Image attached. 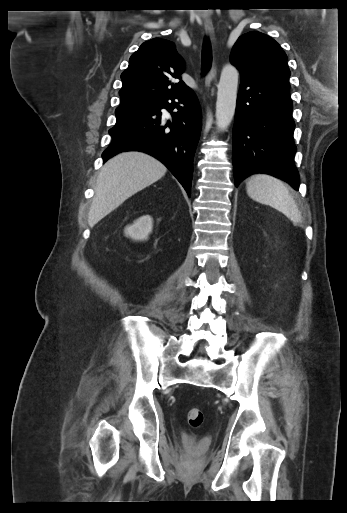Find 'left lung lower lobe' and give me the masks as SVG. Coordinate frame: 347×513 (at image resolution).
Wrapping results in <instances>:
<instances>
[{
    "mask_svg": "<svg viewBox=\"0 0 347 513\" xmlns=\"http://www.w3.org/2000/svg\"><path fill=\"white\" fill-rule=\"evenodd\" d=\"M233 127L235 185L267 173L299 189L289 82L241 77Z\"/></svg>",
    "mask_w": 347,
    "mask_h": 513,
    "instance_id": "1",
    "label": "left lung lower lobe"
}]
</instances>
